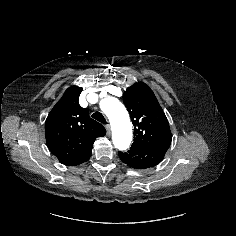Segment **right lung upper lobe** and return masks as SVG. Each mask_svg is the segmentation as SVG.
<instances>
[{
    "label": "right lung upper lobe",
    "mask_w": 236,
    "mask_h": 236,
    "mask_svg": "<svg viewBox=\"0 0 236 236\" xmlns=\"http://www.w3.org/2000/svg\"><path fill=\"white\" fill-rule=\"evenodd\" d=\"M82 89L69 87L50 111L45 122V137L49 150L60 163L75 166L91 155L97 137L105 128L89 117V111L79 105Z\"/></svg>",
    "instance_id": "cb5924a9"
}]
</instances>
